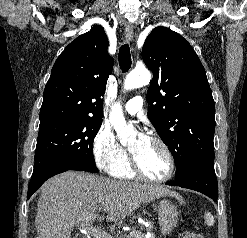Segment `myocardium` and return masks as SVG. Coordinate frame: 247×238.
I'll use <instances>...</instances> for the list:
<instances>
[{
  "label": "myocardium",
  "instance_id": "myocardium-1",
  "mask_svg": "<svg viewBox=\"0 0 247 238\" xmlns=\"http://www.w3.org/2000/svg\"><path fill=\"white\" fill-rule=\"evenodd\" d=\"M148 139L153 141L157 145H159L164 151L167 157V160H168V170L166 174L161 177L147 176L146 174L142 172L134 155L130 152V157H129L130 162L129 163H130L132 172L134 173L136 177H138L141 180L147 181V182H154V183L166 182L173 176L174 171H175V159H174L173 153L170 147L167 145V143L163 141L161 138L157 136H150Z\"/></svg>",
  "mask_w": 247,
  "mask_h": 238
}]
</instances>
